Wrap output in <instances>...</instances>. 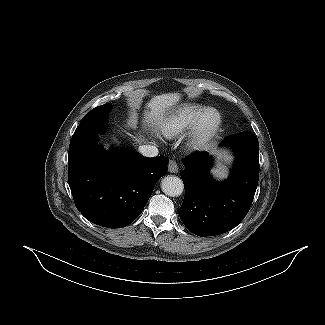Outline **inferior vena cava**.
Here are the masks:
<instances>
[{"instance_id": "602c4592", "label": "inferior vena cava", "mask_w": 325, "mask_h": 325, "mask_svg": "<svg viewBox=\"0 0 325 325\" xmlns=\"http://www.w3.org/2000/svg\"><path fill=\"white\" fill-rule=\"evenodd\" d=\"M139 152L145 157H155L158 155V149L152 145L139 146Z\"/></svg>"}]
</instances>
